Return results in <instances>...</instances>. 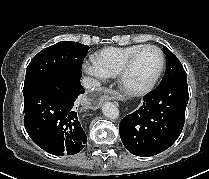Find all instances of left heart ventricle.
Returning <instances> with one entry per match:
<instances>
[{"mask_svg":"<svg viewBox=\"0 0 209 179\" xmlns=\"http://www.w3.org/2000/svg\"><path fill=\"white\" fill-rule=\"evenodd\" d=\"M161 57L156 49L145 50L135 61L126 78L130 88H140L148 84L157 74Z\"/></svg>","mask_w":209,"mask_h":179,"instance_id":"obj_1","label":"left heart ventricle"}]
</instances>
